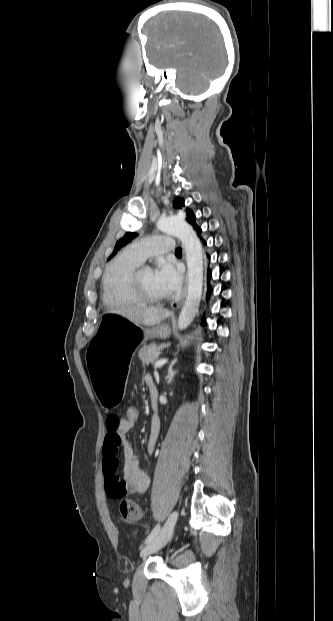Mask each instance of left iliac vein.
Here are the masks:
<instances>
[{
  "mask_svg": "<svg viewBox=\"0 0 333 621\" xmlns=\"http://www.w3.org/2000/svg\"><path fill=\"white\" fill-rule=\"evenodd\" d=\"M178 518V512L170 514L159 535L149 542L141 551V557H147L162 549L171 539Z\"/></svg>",
  "mask_w": 333,
  "mask_h": 621,
  "instance_id": "4c4485c4",
  "label": "left iliac vein"
}]
</instances>
